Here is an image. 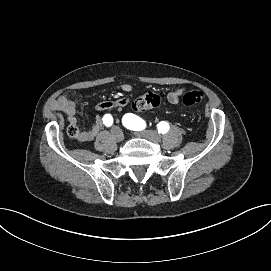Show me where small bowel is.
<instances>
[{"mask_svg": "<svg viewBox=\"0 0 271 271\" xmlns=\"http://www.w3.org/2000/svg\"><path fill=\"white\" fill-rule=\"evenodd\" d=\"M121 89L124 92L132 91L131 84H123ZM186 90L184 88H176L170 91L167 94V99L171 104L177 105L179 104L180 100L183 98ZM130 103V99L128 97H120L115 100L111 101H102L95 105V109L97 111H107L112 109H119L125 107ZM52 109L55 111L62 112L66 115L67 120L70 126H77V119L75 117L76 114V105L73 101L67 99L66 97H59L52 102ZM103 117L96 118L95 122L92 126L87 130H82L79 132L78 139L80 141H89L94 139L99 131L101 130L103 124Z\"/></svg>", "mask_w": 271, "mask_h": 271, "instance_id": "1", "label": "small bowel"}]
</instances>
